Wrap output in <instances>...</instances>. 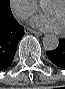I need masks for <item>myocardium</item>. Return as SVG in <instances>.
<instances>
[{"instance_id":"obj_1","label":"myocardium","mask_w":65,"mask_h":89,"mask_svg":"<svg viewBox=\"0 0 65 89\" xmlns=\"http://www.w3.org/2000/svg\"><path fill=\"white\" fill-rule=\"evenodd\" d=\"M54 3H60L65 7V1L64 0H55Z\"/></svg>"}]
</instances>
